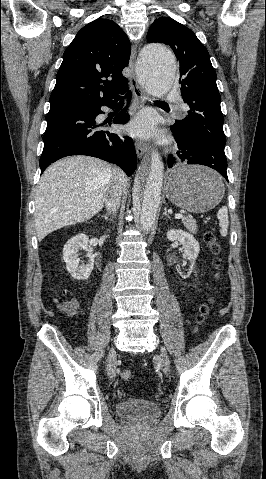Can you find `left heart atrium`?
Segmentation results:
<instances>
[{
    "label": "left heart atrium",
    "instance_id": "39dd6f15",
    "mask_svg": "<svg viewBox=\"0 0 266 479\" xmlns=\"http://www.w3.org/2000/svg\"><path fill=\"white\" fill-rule=\"evenodd\" d=\"M129 131L138 136H149L154 132V119L143 113L138 115L128 126Z\"/></svg>",
    "mask_w": 266,
    "mask_h": 479
}]
</instances>
